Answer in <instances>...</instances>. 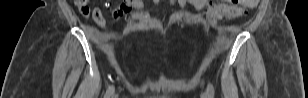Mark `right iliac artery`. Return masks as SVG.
I'll list each match as a JSON object with an SVG mask.
<instances>
[{
    "label": "right iliac artery",
    "instance_id": "82829eb1",
    "mask_svg": "<svg viewBox=\"0 0 308 98\" xmlns=\"http://www.w3.org/2000/svg\"><path fill=\"white\" fill-rule=\"evenodd\" d=\"M113 91H114V86L113 85L109 86V88L106 91L105 98H110Z\"/></svg>",
    "mask_w": 308,
    "mask_h": 98
}]
</instances>
